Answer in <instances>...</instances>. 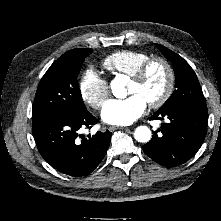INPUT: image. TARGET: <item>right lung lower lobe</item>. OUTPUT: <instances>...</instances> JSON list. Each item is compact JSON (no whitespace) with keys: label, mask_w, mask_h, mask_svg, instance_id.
I'll list each match as a JSON object with an SVG mask.
<instances>
[{"label":"right lung lower lobe","mask_w":221,"mask_h":221,"mask_svg":"<svg viewBox=\"0 0 221 221\" xmlns=\"http://www.w3.org/2000/svg\"><path fill=\"white\" fill-rule=\"evenodd\" d=\"M98 120L87 110L66 113L33 121L32 132L42 157L60 172L71 176H84L102 161L110 145L112 133L98 131L79 140L78 130L91 128Z\"/></svg>","instance_id":"right-lung-lower-lobe-1"}]
</instances>
